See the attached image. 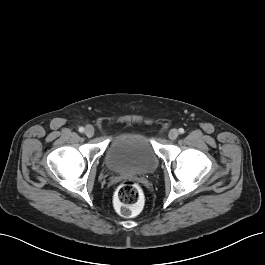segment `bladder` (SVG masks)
Here are the masks:
<instances>
[{
	"label": "bladder",
	"mask_w": 265,
	"mask_h": 265,
	"mask_svg": "<svg viewBox=\"0 0 265 265\" xmlns=\"http://www.w3.org/2000/svg\"><path fill=\"white\" fill-rule=\"evenodd\" d=\"M105 163L113 172L146 174L158 167L159 156L144 132L126 130L111 140Z\"/></svg>",
	"instance_id": "31cf9c89"
}]
</instances>
